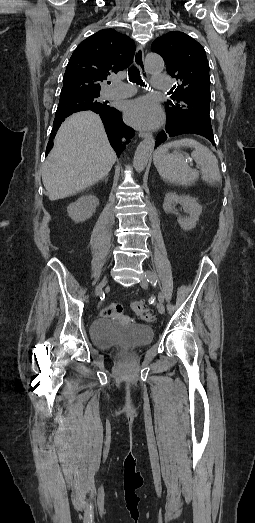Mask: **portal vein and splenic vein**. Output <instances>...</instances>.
<instances>
[{"label":"portal vein and splenic vein","mask_w":255,"mask_h":523,"mask_svg":"<svg viewBox=\"0 0 255 523\" xmlns=\"http://www.w3.org/2000/svg\"><path fill=\"white\" fill-rule=\"evenodd\" d=\"M188 165H189L190 167H193V166L195 165V162H194L193 160H190V161L188 162Z\"/></svg>","instance_id":"obj_1"}]
</instances>
